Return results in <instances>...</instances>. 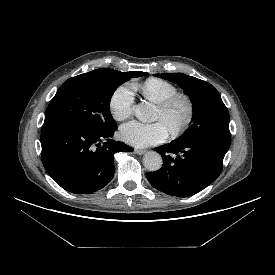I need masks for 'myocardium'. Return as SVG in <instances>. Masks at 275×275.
<instances>
[{"label": "myocardium", "instance_id": "1", "mask_svg": "<svg viewBox=\"0 0 275 275\" xmlns=\"http://www.w3.org/2000/svg\"><path fill=\"white\" fill-rule=\"evenodd\" d=\"M180 102L186 105L187 114L183 122L177 128L170 131V134L173 137L181 135L190 126L195 113L194 102L189 95L185 93H177L158 104V109H160L163 113H167Z\"/></svg>", "mask_w": 275, "mask_h": 275}]
</instances>
